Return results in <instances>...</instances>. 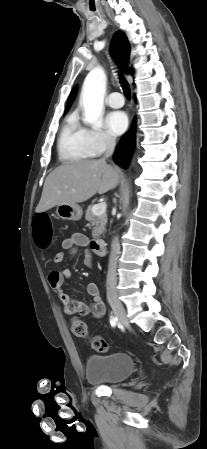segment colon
<instances>
[{
	"mask_svg": "<svg viewBox=\"0 0 207 449\" xmlns=\"http://www.w3.org/2000/svg\"><path fill=\"white\" fill-rule=\"evenodd\" d=\"M53 228L52 223L45 213H38L34 216V230L33 238L36 245L42 249L46 250L52 240ZM71 332L76 337L87 338L88 328L86 323L78 318L72 317L70 319ZM91 347L99 352H104L107 350L108 346L106 341L100 336L88 337Z\"/></svg>",
	"mask_w": 207,
	"mask_h": 449,
	"instance_id": "colon-1",
	"label": "colon"
}]
</instances>
